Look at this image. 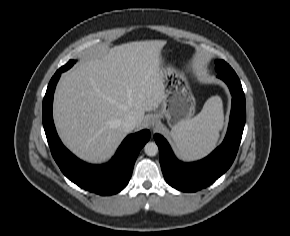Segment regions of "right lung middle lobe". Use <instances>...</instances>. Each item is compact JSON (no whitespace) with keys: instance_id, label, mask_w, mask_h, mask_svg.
Instances as JSON below:
<instances>
[{"instance_id":"1","label":"right lung middle lobe","mask_w":290,"mask_h":236,"mask_svg":"<svg viewBox=\"0 0 290 236\" xmlns=\"http://www.w3.org/2000/svg\"><path fill=\"white\" fill-rule=\"evenodd\" d=\"M75 63V61L70 60L66 65L62 66L59 70L60 71H66L69 68H71L73 66V64Z\"/></svg>"}]
</instances>
